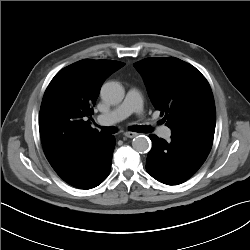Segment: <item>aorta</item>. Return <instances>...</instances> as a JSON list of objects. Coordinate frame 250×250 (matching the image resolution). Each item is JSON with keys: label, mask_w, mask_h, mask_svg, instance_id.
Instances as JSON below:
<instances>
[{"label": "aorta", "mask_w": 250, "mask_h": 250, "mask_svg": "<svg viewBox=\"0 0 250 250\" xmlns=\"http://www.w3.org/2000/svg\"><path fill=\"white\" fill-rule=\"evenodd\" d=\"M101 98L109 104H119L124 96L125 91L118 82H107L101 88ZM132 147L139 153H146L150 149V140L144 136H136L132 141Z\"/></svg>", "instance_id": "762f6f07"}]
</instances>
